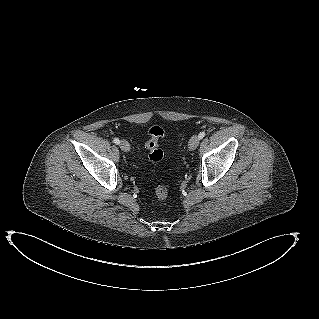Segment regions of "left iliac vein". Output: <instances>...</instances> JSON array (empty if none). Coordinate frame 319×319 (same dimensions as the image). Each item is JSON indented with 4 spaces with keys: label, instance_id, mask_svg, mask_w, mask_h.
<instances>
[{
    "label": "left iliac vein",
    "instance_id": "1",
    "mask_svg": "<svg viewBox=\"0 0 319 319\" xmlns=\"http://www.w3.org/2000/svg\"><path fill=\"white\" fill-rule=\"evenodd\" d=\"M200 138L199 136H192L191 139L189 140L188 146L190 150H195L197 146L199 145Z\"/></svg>",
    "mask_w": 319,
    "mask_h": 319
}]
</instances>
